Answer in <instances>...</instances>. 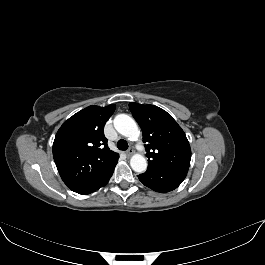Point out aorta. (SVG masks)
<instances>
[{
	"mask_svg": "<svg viewBox=\"0 0 265 265\" xmlns=\"http://www.w3.org/2000/svg\"><path fill=\"white\" fill-rule=\"evenodd\" d=\"M115 129L123 136L136 140L140 131L133 118L126 114H118L114 118ZM131 168L138 173H142L147 169V161L141 154H134L130 159Z\"/></svg>",
	"mask_w": 265,
	"mask_h": 265,
	"instance_id": "762f6f07",
	"label": "aorta"
}]
</instances>
